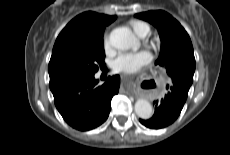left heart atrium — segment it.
<instances>
[{
  "mask_svg": "<svg viewBox=\"0 0 230 155\" xmlns=\"http://www.w3.org/2000/svg\"><path fill=\"white\" fill-rule=\"evenodd\" d=\"M152 55L146 50L121 52L112 61V68L120 73H135L148 65Z\"/></svg>",
  "mask_w": 230,
  "mask_h": 155,
  "instance_id": "left-heart-atrium-1",
  "label": "left heart atrium"
}]
</instances>
